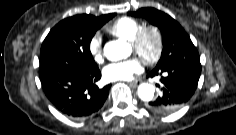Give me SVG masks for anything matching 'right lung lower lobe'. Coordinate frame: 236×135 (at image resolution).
Listing matches in <instances>:
<instances>
[{
	"label": "right lung lower lobe",
	"mask_w": 236,
	"mask_h": 135,
	"mask_svg": "<svg viewBox=\"0 0 236 135\" xmlns=\"http://www.w3.org/2000/svg\"><path fill=\"white\" fill-rule=\"evenodd\" d=\"M42 88L57 110L72 118H85L103 106L111 85L99 88L98 67L71 63L65 66L41 67Z\"/></svg>",
	"instance_id": "98d812e1"
}]
</instances>
